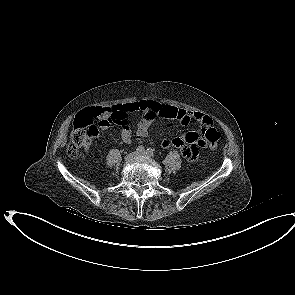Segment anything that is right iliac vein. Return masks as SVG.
Segmentation results:
<instances>
[{
	"label": "right iliac vein",
	"instance_id": "obj_1",
	"mask_svg": "<svg viewBox=\"0 0 295 295\" xmlns=\"http://www.w3.org/2000/svg\"><path fill=\"white\" fill-rule=\"evenodd\" d=\"M137 156V153L136 152H131L129 154H127L125 156V161L126 162H130L131 160H133L135 157Z\"/></svg>",
	"mask_w": 295,
	"mask_h": 295
}]
</instances>
